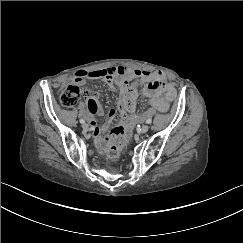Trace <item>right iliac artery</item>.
<instances>
[{"label": "right iliac artery", "mask_w": 243, "mask_h": 243, "mask_svg": "<svg viewBox=\"0 0 243 243\" xmlns=\"http://www.w3.org/2000/svg\"><path fill=\"white\" fill-rule=\"evenodd\" d=\"M80 123H85V120L84 119H80Z\"/></svg>", "instance_id": "82829eb1"}]
</instances>
